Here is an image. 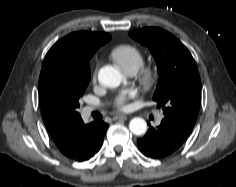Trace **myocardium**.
I'll use <instances>...</instances> for the list:
<instances>
[{
    "label": "myocardium",
    "instance_id": "f54148a6",
    "mask_svg": "<svg viewBox=\"0 0 236 187\" xmlns=\"http://www.w3.org/2000/svg\"><path fill=\"white\" fill-rule=\"evenodd\" d=\"M158 79V72L152 66L142 67L138 75V80L145 90L152 89L157 84Z\"/></svg>",
    "mask_w": 236,
    "mask_h": 187
}]
</instances>
